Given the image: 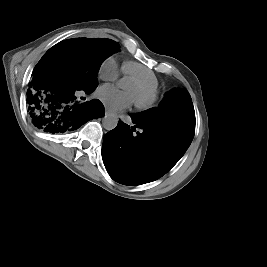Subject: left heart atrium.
<instances>
[{
    "label": "left heart atrium",
    "mask_w": 267,
    "mask_h": 267,
    "mask_svg": "<svg viewBox=\"0 0 267 267\" xmlns=\"http://www.w3.org/2000/svg\"><path fill=\"white\" fill-rule=\"evenodd\" d=\"M100 98L112 109L122 110L127 108L132 102L129 92L120 91L113 86H103L99 92Z\"/></svg>",
    "instance_id": "39dd6f15"
}]
</instances>
